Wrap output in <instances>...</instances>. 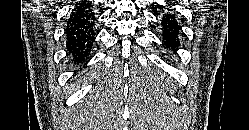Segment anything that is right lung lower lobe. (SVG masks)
<instances>
[{
    "instance_id": "1",
    "label": "right lung lower lobe",
    "mask_w": 249,
    "mask_h": 130,
    "mask_svg": "<svg viewBox=\"0 0 249 130\" xmlns=\"http://www.w3.org/2000/svg\"><path fill=\"white\" fill-rule=\"evenodd\" d=\"M93 7L87 2L76 3L67 20L66 48L76 64L87 60L96 35V13Z\"/></svg>"
}]
</instances>
